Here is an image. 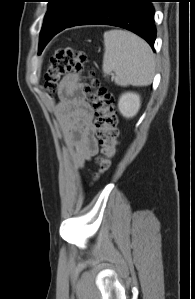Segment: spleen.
I'll list each match as a JSON object with an SVG mask.
<instances>
[{
    "label": "spleen",
    "mask_w": 195,
    "mask_h": 299,
    "mask_svg": "<svg viewBox=\"0 0 195 299\" xmlns=\"http://www.w3.org/2000/svg\"><path fill=\"white\" fill-rule=\"evenodd\" d=\"M103 72H114L119 86H147L155 75V58L146 41L124 30L104 33Z\"/></svg>",
    "instance_id": "3e777b00"
}]
</instances>
